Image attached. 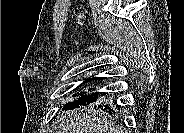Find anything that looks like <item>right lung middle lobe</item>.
Listing matches in <instances>:
<instances>
[{
  "mask_svg": "<svg viewBox=\"0 0 184 133\" xmlns=\"http://www.w3.org/2000/svg\"><path fill=\"white\" fill-rule=\"evenodd\" d=\"M89 90L91 91L92 89L90 88ZM99 94L100 92H95L90 95H84L80 97L79 99L74 100L73 102L66 103L64 107L62 108V110H69V109H73L74 107L76 108V107L84 106L86 104L93 103L97 100V98L99 97ZM98 109H102V110L109 109V112L111 114L110 104H105V103L99 104Z\"/></svg>",
  "mask_w": 184,
  "mask_h": 133,
  "instance_id": "obj_1",
  "label": "right lung middle lobe"
}]
</instances>
